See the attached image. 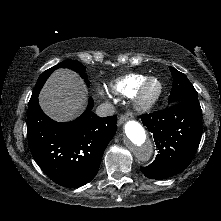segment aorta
I'll return each mask as SVG.
<instances>
[{
    "label": "aorta",
    "instance_id": "aorta-1",
    "mask_svg": "<svg viewBox=\"0 0 221 221\" xmlns=\"http://www.w3.org/2000/svg\"><path fill=\"white\" fill-rule=\"evenodd\" d=\"M124 132L125 142L135 156L141 161H148L153 153V145L143 126L135 120H129Z\"/></svg>",
    "mask_w": 221,
    "mask_h": 221
}]
</instances>
